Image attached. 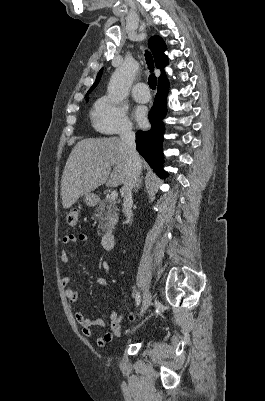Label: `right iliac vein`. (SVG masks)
Instances as JSON below:
<instances>
[{"label": "right iliac vein", "mask_w": 265, "mask_h": 401, "mask_svg": "<svg viewBox=\"0 0 265 401\" xmlns=\"http://www.w3.org/2000/svg\"><path fill=\"white\" fill-rule=\"evenodd\" d=\"M151 301H152L151 293H150L149 290H146L144 292V296H143V304H142V309H141L140 316H143V314L149 308V305H150Z\"/></svg>", "instance_id": "1"}]
</instances>
